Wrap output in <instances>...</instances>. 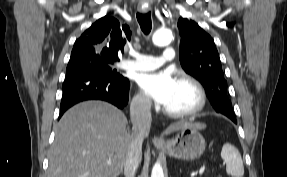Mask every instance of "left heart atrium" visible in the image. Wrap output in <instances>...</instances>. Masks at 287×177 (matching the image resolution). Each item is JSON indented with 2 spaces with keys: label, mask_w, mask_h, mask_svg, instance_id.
Here are the masks:
<instances>
[{
  "label": "left heart atrium",
  "mask_w": 287,
  "mask_h": 177,
  "mask_svg": "<svg viewBox=\"0 0 287 177\" xmlns=\"http://www.w3.org/2000/svg\"><path fill=\"white\" fill-rule=\"evenodd\" d=\"M176 77L168 70L140 76L139 86L143 93L160 105H165L176 83Z\"/></svg>",
  "instance_id": "left-heart-atrium-1"
}]
</instances>
